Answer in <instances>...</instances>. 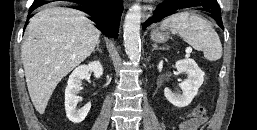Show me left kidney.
I'll list each match as a JSON object with an SVG mask.
<instances>
[{"label":"left kidney","instance_id":"1","mask_svg":"<svg viewBox=\"0 0 257 130\" xmlns=\"http://www.w3.org/2000/svg\"><path fill=\"white\" fill-rule=\"evenodd\" d=\"M176 69L187 74V79L180 85L182 94L173 93L169 88H165L164 95L174 106L185 107L192 102L199 87L203 84L204 72L190 58L177 61Z\"/></svg>","mask_w":257,"mask_h":130}]
</instances>
